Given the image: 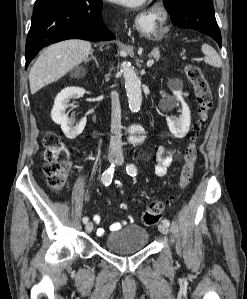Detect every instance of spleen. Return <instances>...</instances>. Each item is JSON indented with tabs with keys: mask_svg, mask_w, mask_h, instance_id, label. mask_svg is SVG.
Wrapping results in <instances>:
<instances>
[{
	"mask_svg": "<svg viewBox=\"0 0 247 299\" xmlns=\"http://www.w3.org/2000/svg\"><path fill=\"white\" fill-rule=\"evenodd\" d=\"M202 52L205 55V62L211 66L216 68H220L222 66L221 58L219 57L216 50L208 44L202 45Z\"/></svg>",
	"mask_w": 247,
	"mask_h": 299,
	"instance_id": "1",
	"label": "spleen"
}]
</instances>
